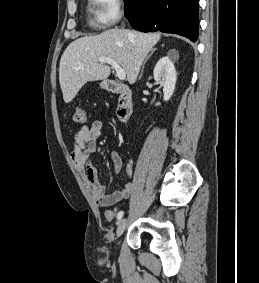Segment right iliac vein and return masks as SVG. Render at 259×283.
Segmentation results:
<instances>
[{
  "label": "right iliac vein",
  "instance_id": "63e3f726",
  "mask_svg": "<svg viewBox=\"0 0 259 283\" xmlns=\"http://www.w3.org/2000/svg\"><path fill=\"white\" fill-rule=\"evenodd\" d=\"M126 226H127V219L124 218L118 224L117 231H116V237L117 238L120 237L123 234V232L126 229Z\"/></svg>",
  "mask_w": 259,
  "mask_h": 283
}]
</instances>
